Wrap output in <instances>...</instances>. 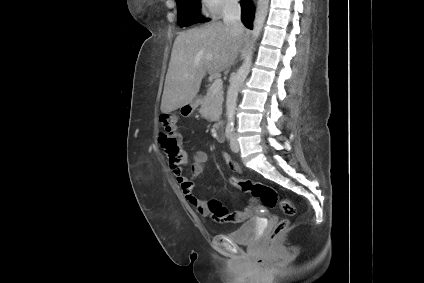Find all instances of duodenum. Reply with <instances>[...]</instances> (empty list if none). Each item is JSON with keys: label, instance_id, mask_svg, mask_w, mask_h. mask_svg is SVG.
<instances>
[{"label": "duodenum", "instance_id": "obj_1", "mask_svg": "<svg viewBox=\"0 0 424 283\" xmlns=\"http://www.w3.org/2000/svg\"><path fill=\"white\" fill-rule=\"evenodd\" d=\"M223 128L224 124L221 120L216 121L212 127L213 137L219 142L222 141L223 138Z\"/></svg>", "mask_w": 424, "mask_h": 283}]
</instances>
